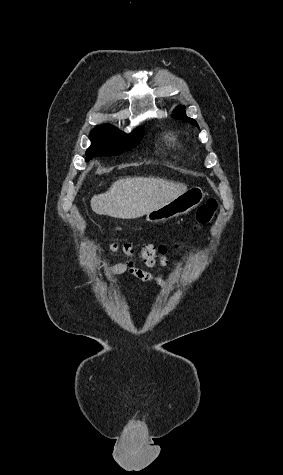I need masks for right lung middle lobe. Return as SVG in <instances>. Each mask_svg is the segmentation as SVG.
Returning <instances> with one entry per match:
<instances>
[{"label":"right lung middle lobe","instance_id":"right-lung-middle-lobe-1","mask_svg":"<svg viewBox=\"0 0 283 475\" xmlns=\"http://www.w3.org/2000/svg\"><path fill=\"white\" fill-rule=\"evenodd\" d=\"M143 137V129L125 134L112 125L96 126L90 133L91 146L86 152V161L97 156H113L136 147Z\"/></svg>","mask_w":283,"mask_h":475}]
</instances>
